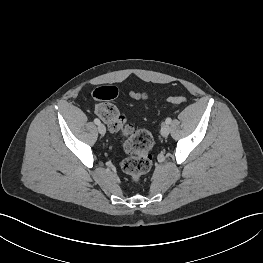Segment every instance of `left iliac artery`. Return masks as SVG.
Instances as JSON below:
<instances>
[{"mask_svg": "<svg viewBox=\"0 0 263 263\" xmlns=\"http://www.w3.org/2000/svg\"><path fill=\"white\" fill-rule=\"evenodd\" d=\"M171 121H172V119H171V118H167V119H166V123H167V124H170V123H171Z\"/></svg>", "mask_w": 263, "mask_h": 263, "instance_id": "44dca946", "label": "left iliac artery"}]
</instances>
